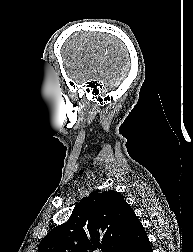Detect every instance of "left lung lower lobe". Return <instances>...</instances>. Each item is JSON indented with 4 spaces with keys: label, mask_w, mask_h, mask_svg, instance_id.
<instances>
[{
    "label": "left lung lower lobe",
    "mask_w": 193,
    "mask_h": 252,
    "mask_svg": "<svg viewBox=\"0 0 193 252\" xmlns=\"http://www.w3.org/2000/svg\"><path fill=\"white\" fill-rule=\"evenodd\" d=\"M125 252H153L147 234L141 223L134 229Z\"/></svg>",
    "instance_id": "left-lung-lower-lobe-1"
}]
</instances>
